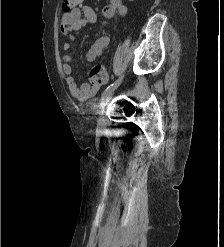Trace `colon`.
I'll return each instance as SVG.
<instances>
[{"label": "colon", "instance_id": "obj_1", "mask_svg": "<svg viewBox=\"0 0 224 247\" xmlns=\"http://www.w3.org/2000/svg\"><path fill=\"white\" fill-rule=\"evenodd\" d=\"M83 0H62V9L64 12H69L76 6L80 5ZM91 81L94 84L104 83L106 80V70L102 65H95L90 72Z\"/></svg>", "mask_w": 224, "mask_h": 247}]
</instances>
